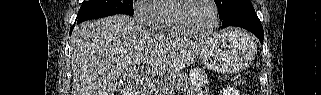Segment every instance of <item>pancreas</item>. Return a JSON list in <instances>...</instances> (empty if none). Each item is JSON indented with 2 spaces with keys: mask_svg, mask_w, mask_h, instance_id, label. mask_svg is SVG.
<instances>
[{
  "mask_svg": "<svg viewBox=\"0 0 321 95\" xmlns=\"http://www.w3.org/2000/svg\"><path fill=\"white\" fill-rule=\"evenodd\" d=\"M188 89V76L183 72H170L155 87H147L145 95H166L170 91Z\"/></svg>",
  "mask_w": 321,
  "mask_h": 95,
  "instance_id": "pancreas-1",
  "label": "pancreas"
}]
</instances>
